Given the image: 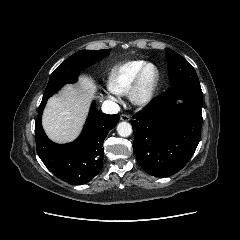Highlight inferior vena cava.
Listing matches in <instances>:
<instances>
[{
    "instance_id": "602c4592",
    "label": "inferior vena cava",
    "mask_w": 240,
    "mask_h": 240,
    "mask_svg": "<svg viewBox=\"0 0 240 240\" xmlns=\"http://www.w3.org/2000/svg\"><path fill=\"white\" fill-rule=\"evenodd\" d=\"M101 109L106 114H117L120 111L119 105L113 101H104Z\"/></svg>"
}]
</instances>
